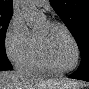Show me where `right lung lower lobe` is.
<instances>
[{
	"instance_id": "98d812e1",
	"label": "right lung lower lobe",
	"mask_w": 89,
	"mask_h": 89,
	"mask_svg": "<svg viewBox=\"0 0 89 89\" xmlns=\"http://www.w3.org/2000/svg\"><path fill=\"white\" fill-rule=\"evenodd\" d=\"M12 69L11 63L9 62L6 53H2L0 56V70H10Z\"/></svg>"
}]
</instances>
